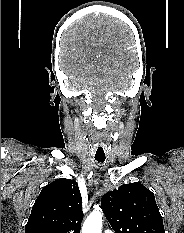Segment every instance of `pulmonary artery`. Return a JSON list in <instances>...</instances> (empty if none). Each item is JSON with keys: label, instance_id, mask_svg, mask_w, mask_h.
<instances>
[{"label": "pulmonary artery", "instance_id": "1", "mask_svg": "<svg viewBox=\"0 0 184 233\" xmlns=\"http://www.w3.org/2000/svg\"><path fill=\"white\" fill-rule=\"evenodd\" d=\"M104 233H114L112 230H105Z\"/></svg>", "mask_w": 184, "mask_h": 233}]
</instances>
